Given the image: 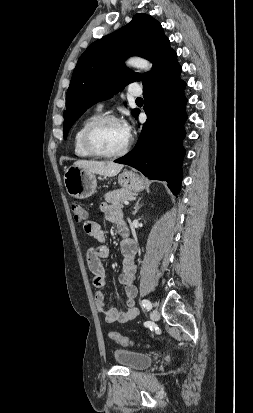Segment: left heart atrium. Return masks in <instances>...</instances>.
Returning <instances> with one entry per match:
<instances>
[{
  "label": "left heart atrium",
  "mask_w": 253,
  "mask_h": 413,
  "mask_svg": "<svg viewBox=\"0 0 253 413\" xmlns=\"http://www.w3.org/2000/svg\"><path fill=\"white\" fill-rule=\"evenodd\" d=\"M119 123H120V125H121L124 133H125L128 137H130V136H131V130H132V127H131L130 123L127 122L126 120H122V121L119 122Z\"/></svg>",
  "instance_id": "left-heart-atrium-1"
}]
</instances>
